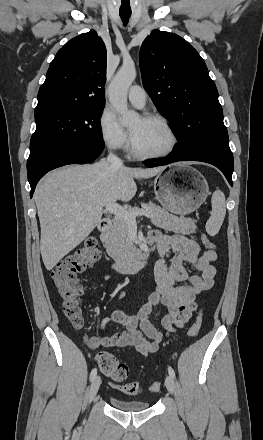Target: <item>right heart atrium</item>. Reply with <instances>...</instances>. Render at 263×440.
Returning a JSON list of instances; mask_svg holds the SVG:
<instances>
[{
    "instance_id": "right-heart-atrium-1",
    "label": "right heart atrium",
    "mask_w": 263,
    "mask_h": 440,
    "mask_svg": "<svg viewBox=\"0 0 263 440\" xmlns=\"http://www.w3.org/2000/svg\"><path fill=\"white\" fill-rule=\"evenodd\" d=\"M99 132L102 142L111 150H122L128 145L126 132L110 111L106 110L102 113L99 120Z\"/></svg>"
}]
</instances>
